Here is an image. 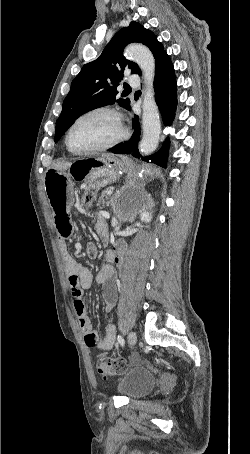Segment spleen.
<instances>
[{
	"label": "spleen",
	"instance_id": "obj_1",
	"mask_svg": "<svg viewBox=\"0 0 250 454\" xmlns=\"http://www.w3.org/2000/svg\"><path fill=\"white\" fill-rule=\"evenodd\" d=\"M147 173H151L150 169H149V170H147Z\"/></svg>",
	"mask_w": 250,
	"mask_h": 454
}]
</instances>
